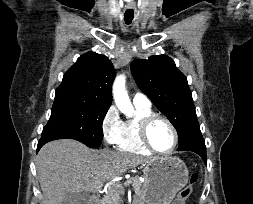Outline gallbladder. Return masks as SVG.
I'll list each match as a JSON object with an SVG mask.
<instances>
[{
    "label": "gallbladder",
    "instance_id": "obj_1",
    "mask_svg": "<svg viewBox=\"0 0 253 204\" xmlns=\"http://www.w3.org/2000/svg\"><path fill=\"white\" fill-rule=\"evenodd\" d=\"M89 199L87 192L68 194L62 204H86Z\"/></svg>",
    "mask_w": 253,
    "mask_h": 204
}]
</instances>
